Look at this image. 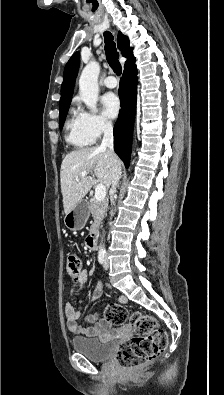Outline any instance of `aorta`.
<instances>
[{
    "label": "aorta",
    "instance_id": "obj_1",
    "mask_svg": "<svg viewBox=\"0 0 224 395\" xmlns=\"http://www.w3.org/2000/svg\"><path fill=\"white\" fill-rule=\"evenodd\" d=\"M100 73V66L97 62L91 61L88 63L79 79L80 97L85 105L94 112L98 101V76ZM100 250H103V244H100Z\"/></svg>",
    "mask_w": 224,
    "mask_h": 395
}]
</instances>
